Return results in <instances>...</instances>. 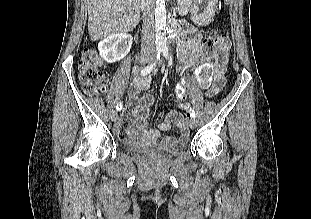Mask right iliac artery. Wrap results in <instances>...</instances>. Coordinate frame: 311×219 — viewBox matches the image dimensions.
I'll return each instance as SVG.
<instances>
[{"mask_svg": "<svg viewBox=\"0 0 311 219\" xmlns=\"http://www.w3.org/2000/svg\"><path fill=\"white\" fill-rule=\"evenodd\" d=\"M160 56H161V50H158L157 51V55H156V61L155 62H153V63H151V64H149V65H147L146 67H144L142 70H141V75H147V74H149L152 70H153V68L155 67V65H156V62L160 59ZM122 102H119L118 104H117V106H116V109L118 110V111H120L121 109H122Z\"/></svg>", "mask_w": 311, "mask_h": 219, "instance_id": "82829eb1", "label": "right iliac artery"}]
</instances>
